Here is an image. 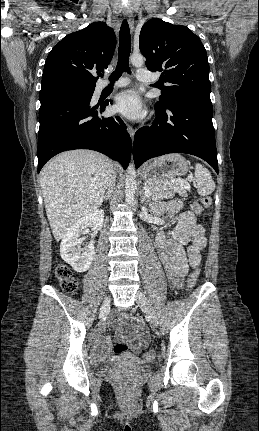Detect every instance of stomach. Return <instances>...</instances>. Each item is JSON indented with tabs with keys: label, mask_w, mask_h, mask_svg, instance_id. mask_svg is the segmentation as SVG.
Wrapping results in <instances>:
<instances>
[{
	"label": "stomach",
	"mask_w": 259,
	"mask_h": 431,
	"mask_svg": "<svg viewBox=\"0 0 259 431\" xmlns=\"http://www.w3.org/2000/svg\"><path fill=\"white\" fill-rule=\"evenodd\" d=\"M188 161L180 154H168L147 163L142 169L145 182L169 181L188 172Z\"/></svg>",
	"instance_id": "1"
}]
</instances>
